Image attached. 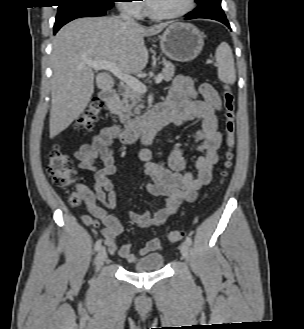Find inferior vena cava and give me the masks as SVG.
<instances>
[{"instance_id":"1","label":"inferior vena cava","mask_w":304,"mask_h":329,"mask_svg":"<svg viewBox=\"0 0 304 329\" xmlns=\"http://www.w3.org/2000/svg\"><path fill=\"white\" fill-rule=\"evenodd\" d=\"M119 18L126 24H136L135 20L132 18L130 13H128L127 9L120 14Z\"/></svg>"}]
</instances>
